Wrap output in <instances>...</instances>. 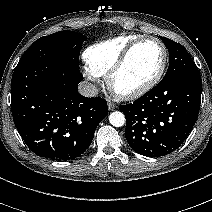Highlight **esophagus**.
<instances>
[{
	"instance_id": "obj_1",
	"label": "esophagus",
	"mask_w": 212,
	"mask_h": 212,
	"mask_svg": "<svg viewBox=\"0 0 212 212\" xmlns=\"http://www.w3.org/2000/svg\"><path fill=\"white\" fill-rule=\"evenodd\" d=\"M117 106L113 102H108L109 110H114Z\"/></svg>"
}]
</instances>
